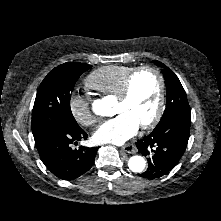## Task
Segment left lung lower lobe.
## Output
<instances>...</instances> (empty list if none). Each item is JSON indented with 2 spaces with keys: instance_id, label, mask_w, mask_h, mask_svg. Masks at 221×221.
Listing matches in <instances>:
<instances>
[{
  "instance_id": "0a47b994",
  "label": "left lung lower lobe",
  "mask_w": 221,
  "mask_h": 221,
  "mask_svg": "<svg viewBox=\"0 0 221 221\" xmlns=\"http://www.w3.org/2000/svg\"><path fill=\"white\" fill-rule=\"evenodd\" d=\"M191 114L169 117L145 138L136 142L139 152L147 157L148 168L141 177L155 179L169 173L184 154L190 136Z\"/></svg>"
}]
</instances>
